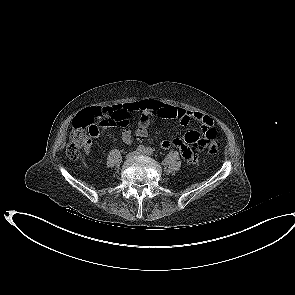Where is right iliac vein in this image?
I'll return each mask as SVG.
<instances>
[{
	"instance_id": "right-iliac-vein-1",
	"label": "right iliac vein",
	"mask_w": 295,
	"mask_h": 295,
	"mask_svg": "<svg viewBox=\"0 0 295 295\" xmlns=\"http://www.w3.org/2000/svg\"><path fill=\"white\" fill-rule=\"evenodd\" d=\"M136 155H138V152L134 151V152H130L127 156L126 159L127 160H132Z\"/></svg>"
}]
</instances>
